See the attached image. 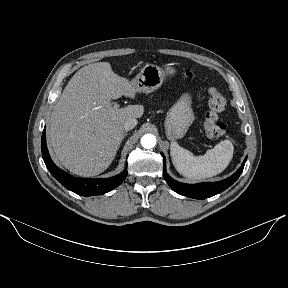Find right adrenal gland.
I'll use <instances>...</instances> for the list:
<instances>
[{"label": "right adrenal gland", "instance_id": "right-adrenal-gland-1", "mask_svg": "<svg viewBox=\"0 0 288 288\" xmlns=\"http://www.w3.org/2000/svg\"><path fill=\"white\" fill-rule=\"evenodd\" d=\"M126 135H127V133L125 132L124 135H123V137H122V140L126 137Z\"/></svg>", "mask_w": 288, "mask_h": 288}]
</instances>
